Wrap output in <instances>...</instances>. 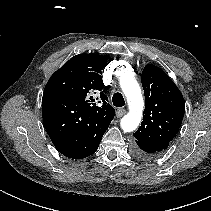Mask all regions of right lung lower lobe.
Segmentation results:
<instances>
[{"label": "right lung lower lobe", "mask_w": 211, "mask_h": 211, "mask_svg": "<svg viewBox=\"0 0 211 211\" xmlns=\"http://www.w3.org/2000/svg\"><path fill=\"white\" fill-rule=\"evenodd\" d=\"M80 111L79 103L71 97L43 93L42 116L46 131L56 149L72 159L94 154L108 128L95 119H85Z\"/></svg>", "instance_id": "obj_1"}]
</instances>
